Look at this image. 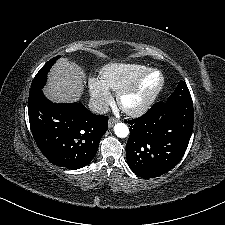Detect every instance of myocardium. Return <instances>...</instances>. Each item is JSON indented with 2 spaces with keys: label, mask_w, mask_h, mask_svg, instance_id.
Segmentation results:
<instances>
[{
  "label": "myocardium",
  "mask_w": 225,
  "mask_h": 225,
  "mask_svg": "<svg viewBox=\"0 0 225 225\" xmlns=\"http://www.w3.org/2000/svg\"><path fill=\"white\" fill-rule=\"evenodd\" d=\"M151 75H157L158 77L156 86L146 95L140 104L135 107H127L125 105V99L136 96L143 88L146 79ZM164 83V75L159 69L153 67L147 68L130 85L123 88L117 94L118 105L127 115L131 117L142 116L150 109L156 98L159 96L164 87Z\"/></svg>",
  "instance_id": "myocardium-1"
}]
</instances>
